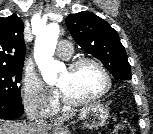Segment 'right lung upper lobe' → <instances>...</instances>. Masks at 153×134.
Here are the masks:
<instances>
[{
	"label": "right lung upper lobe",
	"mask_w": 153,
	"mask_h": 134,
	"mask_svg": "<svg viewBox=\"0 0 153 134\" xmlns=\"http://www.w3.org/2000/svg\"><path fill=\"white\" fill-rule=\"evenodd\" d=\"M22 20L11 15L0 17V67H20L26 54Z\"/></svg>",
	"instance_id": "1"
}]
</instances>
